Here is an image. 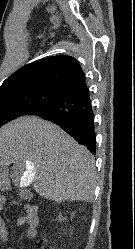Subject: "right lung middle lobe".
Instances as JSON below:
<instances>
[{
	"instance_id": "dd1d6c3e",
	"label": "right lung middle lobe",
	"mask_w": 135,
	"mask_h": 249,
	"mask_svg": "<svg viewBox=\"0 0 135 249\" xmlns=\"http://www.w3.org/2000/svg\"><path fill=\"white\" fill-rule=\"evenodd\" d=\"M59 94L53 91H31L0 95V127L19 116L28 115L32 110L53 100Z\"/></svg>"
}]
</instances>
